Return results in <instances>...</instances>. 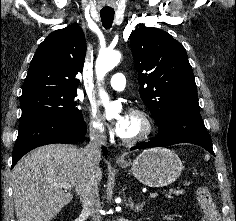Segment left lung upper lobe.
Listing matches in <instances>:
<instances>
[{"label":"left lung upper lobe","mask_w":236,"mask_h":221,"mask_svg":"<svg viewBox=\"0 0 236 221\" xmlns=\"http://www.w3.org/2000/svg\"><path fill=\"white\" fill-rule=\"evenodd\" d=\"M141 99L157 125L179 111L199 112L192 67L181 43L167 32L142 27L131 36Z\"/></svg>","instance_id":"obj_1"}]
</instances>
